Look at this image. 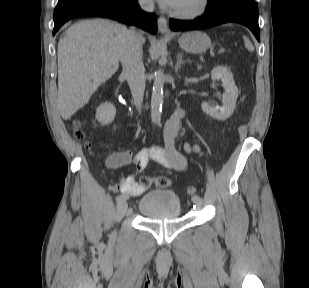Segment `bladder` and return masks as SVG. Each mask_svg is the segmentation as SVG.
Wrapping results in <instances>:
<instances>
[{
  "label": "bladder",
  "mask_w": 309,
  "mask_h": 288,
  "mask_svg": "<svg viewBox=\"0 0 309 288\" xmlns=\"http://www.w3.org/2000/svg\"><path fill=\"white\" fill-rule=\"evenodd\" d=\"M138 210L146 218H176L181 211V199L174 191H149L141 198Z\"/></svg>",
  "instance_id": "31cf9c89"
}]
</instances>
